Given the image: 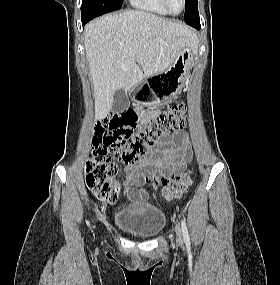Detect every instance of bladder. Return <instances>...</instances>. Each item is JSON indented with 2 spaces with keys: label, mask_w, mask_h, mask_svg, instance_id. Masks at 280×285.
<instances>
[{
  "label": "bladder",
  "mask_w": 280,
  "mask_h": 285,
  "mask_svg": "<svg viewBox=\"0 0 280 285\" xmlns=\"http://www.w3.org/2000/svg\"><path fill=\"white\" fill-rule=\"evenodd\" d=\"M113 225L130 237L150 239L164 230L166 215L151 203H131L115 211Z\"/></svg>",
  "instance_id": "bladder-1"
}]
</instances>
